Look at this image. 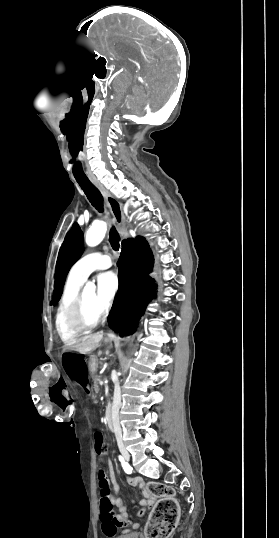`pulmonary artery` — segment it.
<instances>
[{
	"instance_id": "pulmonary-artery-1",
	"label": "pulmonary artery",
	"mask_w": 279,
	"mask_h": 538,
	"mask_svg": "<svg viewBox=\"0 0 279 538\" xmlns=\"http://www.w3.org/2000/svg\"><path fill=\"white\" fill-rule=\"evenodd\" d=\"M112 259L111 253L92 252L77 261L72 267V272L78 278L87 279L94 271L108 268L112 264Z\"/></svg>"
}]
</instances>
